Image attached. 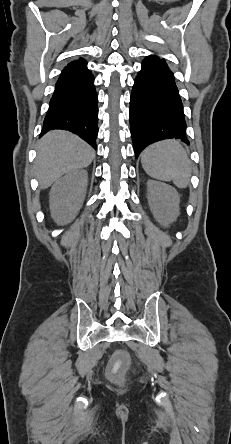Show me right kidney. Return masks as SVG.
Returning a JSON list of instances; mask_svg holds the SVG:
<instances>
[{
	"instance_id": "obj_1",
	"label": "right kidney",
	"mask_w": 231,
	"mask_h": 444,
	"mask_svg": "<svg viewBox=\"0 0 231 444\" xmlns=\"http://www.w3.org/2000/svg\"><path fill=\"white\" fill-rule=\"evenodd\" d=\"M87 172L79 170L58 179L50 191V211L58 224L71 222L80 210L87 190Z\"/></svg>"
}]
</instances>
